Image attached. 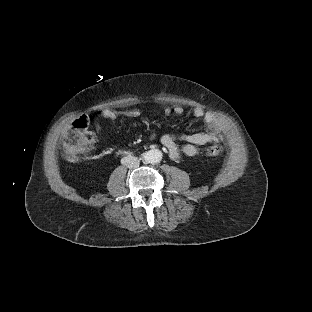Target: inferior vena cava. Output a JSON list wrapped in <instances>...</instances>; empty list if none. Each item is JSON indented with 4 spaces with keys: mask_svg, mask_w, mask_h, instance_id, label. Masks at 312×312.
Returning <instances> with one entry per match:
<instances>
[{
    "mask_svg": "<svg viewBox=\"0 0 312 312\" xmlns=\"http://www.w3.org/2000/svg\"><path fill=\"white\" fill-rule=\"evenodd\" d=\"M128 160H129V162H126V166H127L128 168H133V167H136V166L139 165L138 160L135 159V158H133V159H128Z\"/></svg>",
    "mask_w": 312,
    "mask_h": 312,
    "instance_id": "obj_1",
    "label": "inferior vena cava"
}]
</instances>
